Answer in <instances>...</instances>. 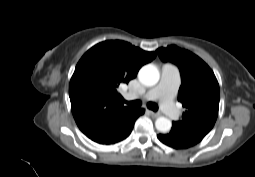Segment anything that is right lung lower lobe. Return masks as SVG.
I'll list each match as a JSON object with an SVG mask.
<instances>
[{
    "label": "right lung lower lobe",
    "mask_w": 255,
    "mask_h": 177,
    "mask_svg": "<svg viewBox=\"0 0 255 177\" xmlns=\"http://www.w3.org/2000/svg\"><path fill=\"white\" fill-rule=\"evenodd\" d=\"M144 114V109L123 108L95 124L81 129L92 141L102 145H112L126 139L136 119Z\"/></svg>",
    "instance_id": "1"
}]
</instances>
